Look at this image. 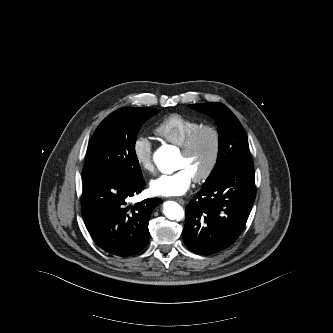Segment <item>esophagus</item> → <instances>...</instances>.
Listing matches in <instances>:
<instances>
[{"instance_id":"1","label":"esophagus","mask_w":333,"mask_h":333,"mask_svg":"<svg viewBox=\"0 0 333 333\" xmlns=\"http://www.w3.org/2000/svg\"><path fill=\"white\" fill-rule=\"evenodd\" d=\"M175 200L180 203L181 205H183L185 203V201L182 198H175Z\"/></svg>"}]
</instances>
